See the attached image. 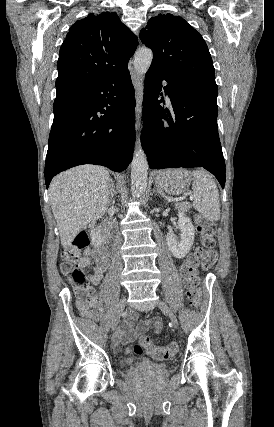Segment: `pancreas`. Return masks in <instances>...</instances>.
I'll use <instances>...</instances> for the list:
<instances>
[{"label":"pancreas","mask_w":274,"mask_h":427,"mask_svg":"<svg viewBox=\"0 0 274 427\" xmlns=\"http://www.w3.org/2000/svg\"><path fill=\"white\" fill-rule=\"evenodd\" d=\"M176 206L179 210H182V212H188L189 208H191L189 202H182V204H176Z\"/></svg>","instance_id":"obj_1"}]
</instances>
